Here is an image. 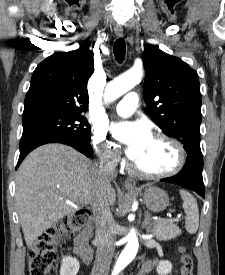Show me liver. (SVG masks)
Returning a JSON list of instances; mask_svg holds the SVG:
<instances>
[{"label": "liver", "instance_id": "6515ba94", "mask_svg": "<svg viewBox=\"0 0 225 275\" xmlns=\"http://www.w3.org/2000/svg\"><path fill=\"white\" fill-rule=\"evenodd\" d=\"M101 192L113 205L115 190L103 185L97 165L75 149L46 144L32 151L16 173L15 200L27 246L75 206L92 205Z\"/></svg>", "mask_w": 225, "mask_h": 275}]
</instances>
